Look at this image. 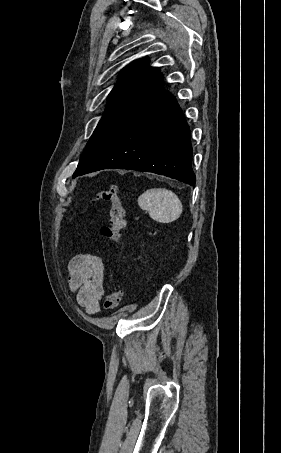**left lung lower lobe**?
I'll list each match as a JSON object with an SVG mask.
<instances>
[{
	"label": "left lung lower lobe",
	"instance_id": "obj_1",
	"mask_svg": "<svg viewBox=\"0 0 281 453\" xmlns=\"http://www.w3.org/2000/svg\"><path fill=\"white\" fill-rule=\"evenodd\" d=\"M190 130L160 74L98 154L73 178L121 168L165 175L195 185Z\"/></svg>",
	"mask_w": 281,
	"mask_h": 453
}]
</instances>
